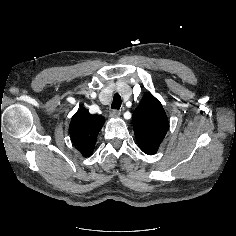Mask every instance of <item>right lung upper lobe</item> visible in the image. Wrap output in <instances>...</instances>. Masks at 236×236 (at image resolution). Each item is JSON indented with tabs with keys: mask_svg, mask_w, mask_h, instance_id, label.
<instances>
[{
	"mask_svg": "<svg viewBox=\"0 0 236 236\" xmlns=\"http://www.w3.org/2000/svg\"><path fill=\"white\" fill-rule=\"evenodd\" d=\"M104 124V117L91 115L86 108H80L70 122L71 140L84 157L92 154L97 135Z\"/></svg>",
	"mask_w": 236,
	"mask_h": 236,
	"instance_id": "1",
	"label": "right lung upper lobe"
}]
</instances>
